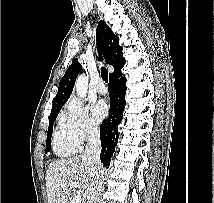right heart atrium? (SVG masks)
Listing matches in <instances>:
<instances>
[{
    "label": "right heart atrium",
    "mask_w": 214,
    "mask_h": 203,
    "mask_svg": "<svg viewBox=\"0 0 214 203\" xmlns=\"http://www.w3.org/2000/svg\"><path fill=\"white\" fill-rule=\"evenodd\" d=\"M59 122L80 147L99 133L98 124L90 116L87 107L78 100H71L67 103L60 113Z\"/></svg>",
    "instance_id": "1"
}]
</instances>
